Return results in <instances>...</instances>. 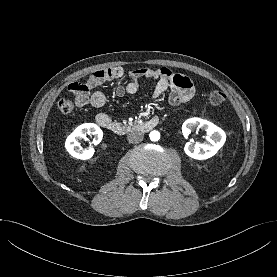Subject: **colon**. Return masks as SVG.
<instances>
[{"label":"colon","instance_id":"1","mask_svg":"<svg viewBox=\"0 0 277 277\" xmlns=\"http://www.w3.org/2000/svg\"><path fill=\"white\" fill-rule=\"evenodd\" d=\"M74 88L77 91L85 89V87H83L81 85L79 86L78 82L76 83ZM208 99H209L210 104H212L214 106H219L225 102L226 96L220 90H213L209 93ZM58 108L62 114L68 115V114H71L75 110V103L68 99H62L58 103Z\"/></svg>","mask_w":277,"mask_h":277}]
</instances>
